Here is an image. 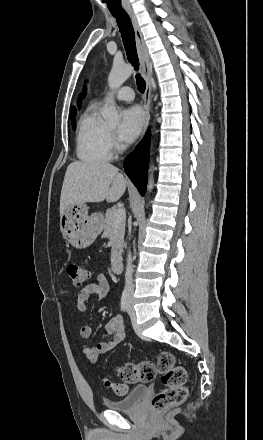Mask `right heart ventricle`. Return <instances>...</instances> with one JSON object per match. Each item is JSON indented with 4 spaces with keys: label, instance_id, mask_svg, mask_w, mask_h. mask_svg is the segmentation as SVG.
I'll list each match as a JSON object with an SVG mask.
<instances>
[{
    "label": "right heart ventricle",
    "instance_id": "e07e8e85",
    "mask_svg": "<svg viewBox=\"0 0 263 440\" xmlns=\"http://www.w3.org/2000/svg\"><path fill=\"white\" fill-rule=\"evenodd\" d=\"M76 153L84 162H105L112 158L109 128L99 117L97 107L90 106L80 118L76 136Z\"/></svg>",
    "mask_w": 263,
    "mask_h": 440
}]
</instances>
